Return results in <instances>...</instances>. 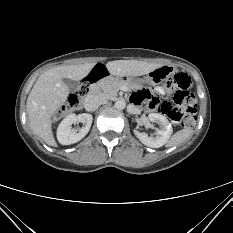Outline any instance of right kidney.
<instances>
[{
  "instance_id": "right-kidney-1",
  "label": "right kidney",
  "mask_w": 233,
  "mask_h": 233,
  "mask_svg": "<svg viewBox=\"0 0 233 233\" xmlns=\"http://www.w3.org/2000/svg\"><path fill=\"white\" fill-rule=\"evenodd\" d=\"M93 117L89 113L79 115L70 114L65 117L57 128V139L62 145H70L83 139L89 132ZM83 123V127L77 133L72 129V124Z\"/></svg>"
}]
</instances>
